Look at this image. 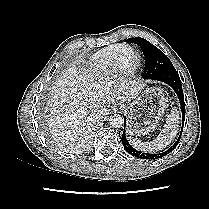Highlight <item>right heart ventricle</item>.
<instances>
[{
    "label": "right heart ventricle",
    "mask_w": 209,
    "mask_h": 209,
    "mask_svg": "<svg viewBox=\"0 0 209 209\" xmlns=\"http://www.w3.org/2000/svg\"><path fill=\"white\" fill-rule=\"evenodd\" d=\"M122 45L115 44L103 48L99 52H97L91 59L88 69L90 74L96 78H103L108 75L113 66V60L116 52L120 49ZM138 56L135 53L133 60L131 61V65L135 66L137 62Z\"/></svg>",
    "instance_id": "obj_1"
}]
</instances>
